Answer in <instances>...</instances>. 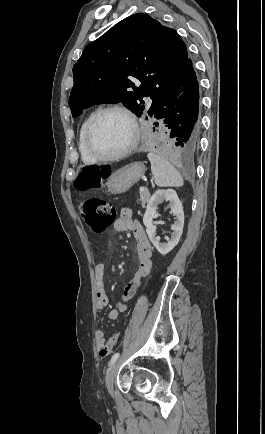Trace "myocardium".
<instances>
[{
  "label": "myocardium",
  "instance_id": "f54148a6",
  "mask_svg": "<svg viewBox=\"0 0 265 434\" xmlns=\"http://www.w3.org/2000/svg\"><path fill=\"white\" fill-rule=\"evenodd\" d=\"M112 111L122 112L129 118L133 127V136H132L131 143L125 150L117 154L108 155L101 152L97 148V146L95 145L94 136L96 134L97 123L101 118V116L104 115L105 113L112 112ZM139 140H140V127L134 113L128 107L122 104H113V105H107L102 108H99L98 110H96V112H94L93 116L90 119L88 129H87V134L85 136V147L89 155L92 156L97 161L111 162V161L121 160L129 156L131 153H133L139 144Z\"/></svg>",
  "mask_w": 265,
  "mask_h": 434
}]
</instances>
